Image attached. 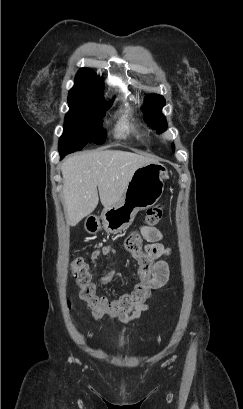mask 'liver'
<instances>
[{
  "mask_svg": "<svg viewBox=\"0 0 243 409\" xmlns=\"http://www.w3.org/2000/svg\"><path fill=\"white\" fill-rule=\"evenodd\" d=\"M151 162L156 161L120 150H97L67 158L60 165L67 224L75 226L92 213L99 197L105 208L117 204L133 173Z\"/></svg>",
  "mask_w": 243,
  "mask_h": 409,
  "instance_id": "liver-1",
  "label": "liver"
}]
</instances>
